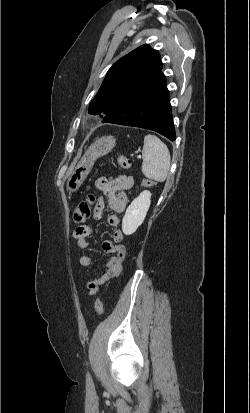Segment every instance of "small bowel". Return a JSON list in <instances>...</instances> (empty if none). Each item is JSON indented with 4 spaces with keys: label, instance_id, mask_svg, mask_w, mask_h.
<instances>
[{
    "label": "small bowel",
    "instance_id": "small-bowel-1",
    "mask_svg": "<svg viewBox=\"0 0 250 413\" xmlns=\"http://www.w3.org/2000/svg\"><path fill=\"white\" fill-rule=\"evenodd\" d=\"M133 183V177L128 175L101 177L96 181V187L108 198L109 206L115 212L108 216L107 222L110 226L118 227L120 222L118 213L124 211L128 201L126 192L132 188ZM104 208L105 200L101 197L93 210V218L95 220L102 218ZM92 233L93 228L90 225L79 226L74 230L73 237L77 241L79 248L88 249L90 247L91 243L89 238ZM122 240L123 232L118 227L112 234V240H107L103 243V250L110 254L111 257L105 264V272L99 277L87 282L89 295L95 294L100 287L120 274L122 263L126 256V248L122 244ZM78 261L82 267H88L92 263V259L88 255L80 256Z\"/></svg>",
    "mask_w": 250,
    "mask_h": 413
}]
</instances>
